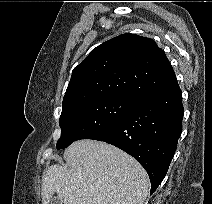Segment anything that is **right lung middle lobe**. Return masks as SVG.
I'll use <instances>...</instances> for the list:
<instances>
[{"mask_svg": "<svg viewBox=\"0 0 212 204\" xmlns=\"http://www.w3.org/2000/svg\"><path fill=\"white\" fill-rule=\"evenodd\" d=\"M137 104V101L108 96L73 104L62 109L59 119L61 137L56 148L63 149L74 141L90 139L120 122Z\"/></svg>", "mask_w": 212, "mask_h": 204, "instance_id": "right-lung-middle-lobe-1", "label": "right lung middle lobe"}]
</instances>
